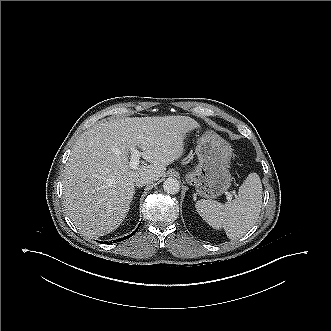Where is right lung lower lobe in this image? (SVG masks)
<instances>
[{"instance_id":"right-lung-lower-lobe-1","label":"right lung lower lobe","mask_w":331,"mask_h":331,"mask_svg":"<svg viewBox=\"0 0 331 331\" xmlns=\"http://www.w3.org/2000/svg\"><path fill=\"white\" fill-rule=\"evenodd\" d=\"M137 230H138V228H137L132 234H130V235L124 237V238L114 240L113 243H114L115 241H122V240H125V239L130 238L131 236H133V235L136 233ZM110 243H112V242H110ZM105 244H106V243H105ZM108 244H109V243H108Z\"/></svg>"}]
</instances>
